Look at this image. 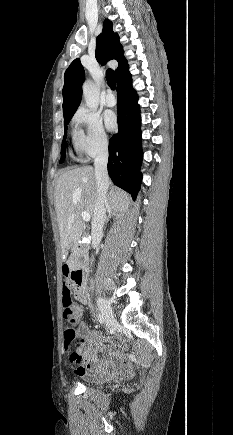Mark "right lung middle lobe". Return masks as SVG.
<instances>
[{"instance_id":"right-lung-middle-lobe-1","label":"right lung middle lobe","mask_w":233,"mask_h":435,"mask_svg":"<svg viewBox=\"0 0 233 435\" xmlns=\"http://www.w3.org/2000/svg\"><path fill=\"white\" fill-rule=\"evenodd\" d=\"M72 116H67L64 117V137H63V141H62V147H61V159L59 163H63L64 158H65V152H66V136H67V125L69 124L70 120H71Z\"/></svg>"}]
</instances>
